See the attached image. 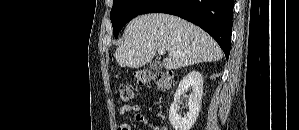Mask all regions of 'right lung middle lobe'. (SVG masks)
Masks as SVG:
<instances>
[{
  "label": "right lung middle lobe",
  "instance_id": "1",
  "mask_svg": "<svg viewBox=\"0 0 299 130\" xmlns=\"http://www.w3.org/2000/svg\"><path fill=\"white\" fill-rule=\"evenodd\" d=\"M151 0H113L110 13L113 34L117 38L122 27L131 19L139 15L140 11Z\"/></svg>",
  "mask_w": 299,
  "mask_h": 130
}]
</instances>
